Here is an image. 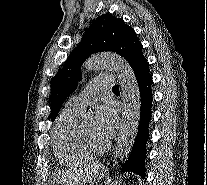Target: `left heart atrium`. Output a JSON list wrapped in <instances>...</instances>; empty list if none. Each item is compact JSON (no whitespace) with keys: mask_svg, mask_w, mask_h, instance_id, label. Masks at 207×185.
<instances>
[{"mask_svg":"<svg viewBox=\"0 0 207 185\" xmlns=\"http://www.w3.org/2000/svg\"><path fill=\"white\" fill-rule=\"evenodd\" d=\"M119 121L115 105L107 103L96 110L95 127L97 132L106 140L112 138L117 129Z\"/></svg>","mask_w":207,"mask_h":185,"instance_id":"obj_1","label":"left heart atrium"}]
</instances>
